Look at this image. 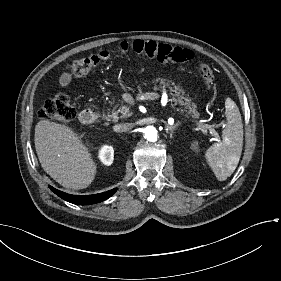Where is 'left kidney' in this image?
Returning <instances> with one entry per match:
<instances>
[{
  "instance_id": "obj_1",
  "label": "left kidney",
  "mask_w": 281,
  "mask_h": 281,
  "mask_svg": "<svg viewBox=\"0 0 281 281\" xmlns=\"http://www.w3.org/2000/svg\"><path fill=\"white\" fill-rule=\"evenodd\" d=\"M191 149H193L194 151H198V150H199L198 142L194 141V142L191 144Z\"/></svg>"
}]
</instances>
